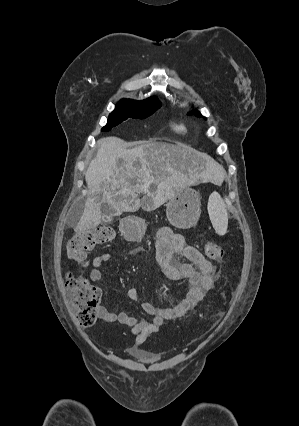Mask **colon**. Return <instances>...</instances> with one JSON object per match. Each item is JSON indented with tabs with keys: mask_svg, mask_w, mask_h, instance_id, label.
Segmentation results:
<instances>
[{
	"mask_svg": "<svg viewBox=\"0 0 299 426\" xmlns=\"http://www.w3.org/2000/svg\"><path fill=\"white\" fill-rule=\"evenodd\" d=\"M114 236V230L107 226L79 231L67 244L68 257L79 264H85L89 251L111 241ZM204 254L209 260L219 262L224 257V249L214 241H207L204 244ZM65 286L80 325L92 326L101 301L100 290L91 285L87 279L72 274L68 275Z\"/></svg>",
	"mask_w": 299,
	"mask_h": 426,
	"instance_id": "5ec220e1",
	"label": "colon"
}]
</instances>
